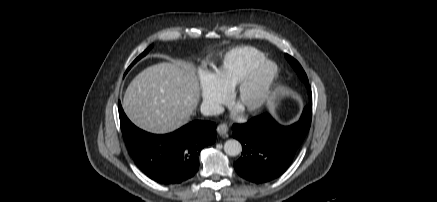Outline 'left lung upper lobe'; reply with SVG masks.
Instances as JSON below:
<instances>
[{"label": "left lung upper lobe", "mask_w": 437, "mask_h": 202, "mask_svg": "<svg viewBox=\"0 0 437 202\" xmlns=\"http://www.w3.org/2000/svg\"><path fill=\"white\" fill-rule=\"evenodd\" d=\"M286 59L289 61V63L292 65V67L295 69V71L297 72L299 78L305 83L307 89H308V95L310 98V101L312 100V95H311V90H310V85L308 82V78L306 73L304 72L303 68L301 67V65L290 55L285 54ZM312 103V102H310Z\"/></svg>", "instance_id": "obj_1"}]
</instances>
